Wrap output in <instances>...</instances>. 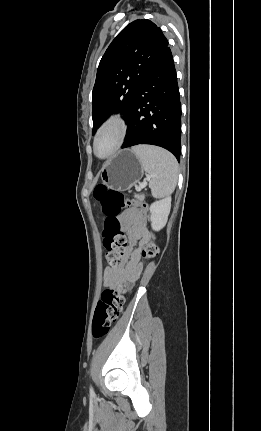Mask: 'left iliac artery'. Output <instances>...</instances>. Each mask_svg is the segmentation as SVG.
I'll return each instance as SVG.
<instances>
[{"label": "left iliac artery", "instance_id": "left-iliac-artery-1", "mask_svg": "<svg viewBox=\"0 0 261 431\" xmlns=\"http://www.w3.org/2000/svg\"><path fill=\"white\" fill-rule=\"evenodd\" d=\"M90 393H91V394H93V393H94L92 386H90Z\"/></svg>", "mask_w": 261, "mask_h": 431}]
</instances>
